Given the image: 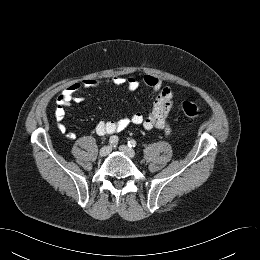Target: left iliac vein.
<instances>
[{
	"label": "left iliac vein",
	"instance_id": "1",
	"mask_svg": "<svg viewBox=\"0 0 260 260\" xmlns=\"http://www.w3.org/2000/svg\"><path fill=\"white\" fill-rule=\"evenodd\" d=\"M119 149H120V151H121L122 153H124V154L127 155L128 157H130V158H134V157H135V152H134L133 149H131V148L125 146V145H121V146L119 147Z\"/></svg>",
	"mask_w": 260,
	"mask_h": 260
}]
</instances>
